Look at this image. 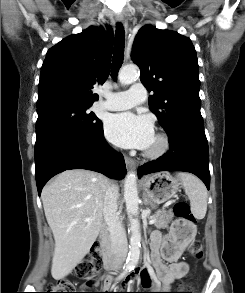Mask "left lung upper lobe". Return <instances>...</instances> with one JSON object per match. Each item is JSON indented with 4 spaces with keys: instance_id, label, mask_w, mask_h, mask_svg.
Masks as SVG:
<instances>
[{
    "instance_id": "1",
    "label": "left lung upper lobe",
    "mask_w": 245,
    "mask_h": 293,
    "mask_svg": "<svg viewBox=\"0 0 245 293\" xmlns=\"http://www.w3.org/2000/svg\"><path fill=\"white\" fill-rule=\"evenodd\" d=\"M131 58L140 68L142 84L154 92L149 107L166 132L180 125L204 128L199 66L189 38L145 25L135 36Z\"/></svg>"
}]
</instances>
